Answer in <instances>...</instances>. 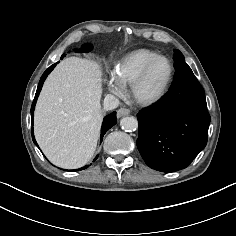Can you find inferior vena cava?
I'll return each mask as SVG.
<instances>
[{"instance_id": "obj_1", "label": "inferior vena cava", "mask_w": 236, "mask_h": 236, "mask_svg": "<svg viewBox=\"0 0 236 236\" xmlns=\"http://www.w3.org/2000/svg\"><path fill=\"white\" fill-rule=\"evenodd\" d=\"M119 99L114 95L108 94L104 98V109L105 110H113L119 106Z\"/></svg>"}]
</instances>
